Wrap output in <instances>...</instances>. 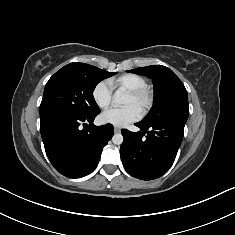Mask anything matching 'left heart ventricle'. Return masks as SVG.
<instances>
[{
    "instance_id": "obj_1",
    "label": "left heart ventricle",
    "mask_w": 235,
    "mask_h": 235,
    "mask_svg": "<svg viewBox=\"0 0 235 235\" xmlns=\"http://www.w3.org/2000/svg\"><path fill=\"white\" fill-rule=\"evenodd\" d=\"M124 105H133L135 106L139 111L141 109V101L140 100H137L135 98H133L132 96L130 95H126L125 99H124V102H123Z\"/></svg>"
}]
</instances>
